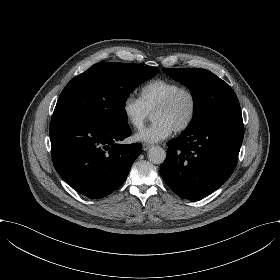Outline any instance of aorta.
Listing matches in <instances>:
<instances>
[{
  "label": "aorta",
  "mask_w": 280,
  "mask_h": 280,
  "mask_svg": "<svg viewBox=\"0 0 280 280\" xmlns=\"http://www.w3.org/2000/svg\"><path fill=\"white\" fill-rule=\"evenodd\" d=\"M166 157L165 150L160 146H153L148 151V159L153 164H161Z\"/></svg>",
  "instance_id": "obj_1"
}]
</instances>
